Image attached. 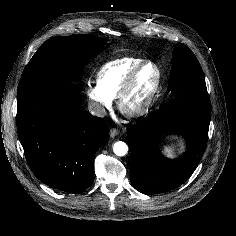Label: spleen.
Wrapping results in <instances>:
<instances>
[{
	"instance_id": "3e777b00",
	"label": "spleen",
	"mask_w": 236,
	"mask_h": 236,
	"mask_svg": "<svg viewBox=\"0 0 236 236\" xmlns=\"http://www.w3.org/2000/svg\"><path fill=\"white\" fill-rule=\"evenodd\" d=\"M178 144L166 145L163 147V153L170 158L175 157V152L177 151Z\"/></svg>"
}]
</instances>
